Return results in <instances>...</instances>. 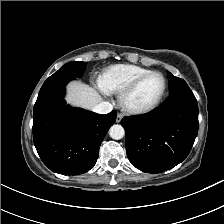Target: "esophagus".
I'll return each mask as SVG.
<instances>
[{
    "mask_svg": "<svg viewBox=\"0 0 224 224\" xmlns=\"http://www.w3.org/2000/svg\"><path fill=\"white\" fill-rule=\"evenodd\" d=\"M122 118H123V114L122 113H118L117 117H116V122L117 123L121 122Z\"/></svg>",
    "mask_w": 224,
    "mask_h": 224,
    "instance_id": "1",
    "label": "esophagus"
}]
</instances>
